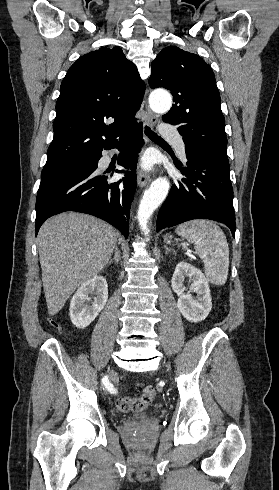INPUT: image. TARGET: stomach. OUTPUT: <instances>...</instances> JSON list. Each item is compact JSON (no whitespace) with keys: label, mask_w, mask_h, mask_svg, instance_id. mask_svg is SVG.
Returning <instances> with one entry per match:
<instances>
[{"label":"stomach","mask_w":279,"mask_h":490,"mask_svg":"<svg viewBox=\"0 0 279 490\" xmlns=\"http://www.w3.org/2000/svg\"><path fill=\"white\" fill-rule=\"evenodd\" d=\"M164 242H166V244H169V242H172V236H169V234H167V236H164Z\"/></svg>","instance_id":"0dacf381"}]
</instances>
